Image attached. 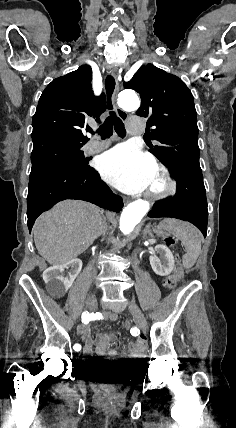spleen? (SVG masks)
<instances>
[{
  "instance_id": "3e777b00",
  "label": "spleen",
  "mask_w": 236,
  "mask_h": 428,
  "mask_svg": "<svg viewBox=\"0 0 236 428\" xmlns=\"http://www.w3.org/2000/svg\"><path fill=\"white\" fill-rule=\"evenodd\" d=\"M160 228L173 234L177 240H181L182 246L187 250V254L183 256V264L184 266H194L201 250L200 234L197 228L188 222L175 220V218H166L161 222Z\"/></svg>"
}]
</instances>
